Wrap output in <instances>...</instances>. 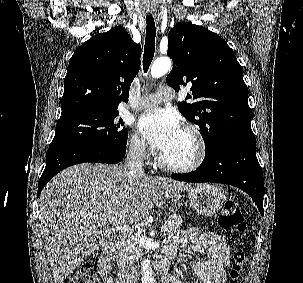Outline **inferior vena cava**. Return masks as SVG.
I'll list each match as a JSON object with an SVG mask.
<instances>
[{
	"label": "inferior vena cava",
	"mask_w": 303,
	"mask_h": 283,
	"mask_svg": "<svg viewBox=\"0 0 303 283\" xmlns=\"http://www.w3.org/2000/svg\"><path fill=\"white\" fill-rule=\"evenodd\" d=\"M145 152L144 145H136L131 147L127 153L125 159L124 168L128 170L129 176L134 178L135 176H143V157Z\"/></svg>",
	"instance_id": "obj_1"
}]
</instances>
